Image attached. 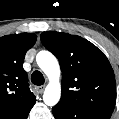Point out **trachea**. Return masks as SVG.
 Returning <instances> with one entry per match:
<instances>
[{"instance_id":"obj_1","label":"trachea","mask_w":119,"mask_h":119,"mask_svg":"<svg viewBox=\"0 0 119 119\" xmlns=\"http://www.w3.org/2000/svg\"><path fill=\"white\" fill-rule=\"evenodd\" d=\"M31 81L34 85H43L45 80L42 73L38 70L34 71L31 75Z\"/></svg>"}]
</instances>
